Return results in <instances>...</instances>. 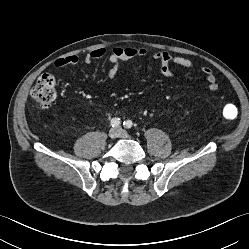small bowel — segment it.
I'll list each match as a JSON object with an SVG mask.
<instances>
[{"label": "small bowel", "instance_id": "obj_1", "mask_svg": "<svg viewBox=\"0 0 249 249\" xmlns=\"http://www.w3.org/2000/svg\"><path fill=\"white\" fill-rule=\"evenodd\" d=\"M105 55V49L97 48L87 53L84 56L83 61L86 64H90L93 61L103 58ZM147 55L148 51L144 47H114L108 54V60L111 64L108 78L114 80L117 77L122 63L136 58L145 57ZM151 57L159 63L160 73L166 78L174 77V67L176 66L184 68H192L194 66V62L191 59L173 55L167 50L156 51L152 53ZM79 60L80 59L77 55L61 57L55 61V66L58 68L74 66L79 63ZM200 70L206 78L209 90L212 92L217 91L219 85L213 70L207 65H202Z\"/></svg>", "mask_w": 249, "mask_h": 249}]
</instances>
